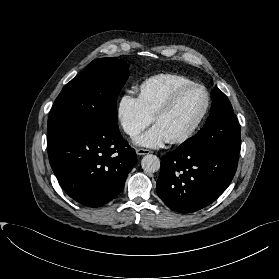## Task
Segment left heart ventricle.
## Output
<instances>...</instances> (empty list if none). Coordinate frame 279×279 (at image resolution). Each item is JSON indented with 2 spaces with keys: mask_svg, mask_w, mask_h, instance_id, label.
<instances>
[{
  "mask_svg": "<svg viewBox=\"0 0 279 279\" xmlns=\"http://www.w3.org/2000/svg\"><path fill=\"white\" fill-rule=\"evenodd\" d=\"M205 104V93L199 88L185 92L175 107L157 121L169 139L184 134L195 122Z\"/></svg>",
  "mask_w": 279,
  "mask_h": 279,
  "instance_id": "b2bd125f",
  "label": "left heart ventricle"
}]
</instances>
